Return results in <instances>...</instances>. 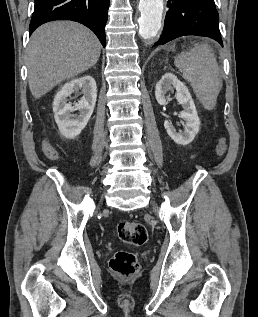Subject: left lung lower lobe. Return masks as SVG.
<instances>
[{
    "mask_svg": "<svg viewBox=\"0 0 258 317\" xmlns=\"http://www.w3.org/2000/svg\"><path fill=\"white\" fill-rule=\"evenodd\" d=\"M167 7L163 32L154 46L185 35L210 37L223 46L214 0H168Z\"/></svg>",
    "mask_w": 258,
    "mask_h": 317,
    "instance_id": "1",
    "label": "left lung lower lobe"
}]
</instances>
